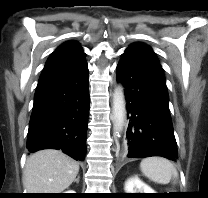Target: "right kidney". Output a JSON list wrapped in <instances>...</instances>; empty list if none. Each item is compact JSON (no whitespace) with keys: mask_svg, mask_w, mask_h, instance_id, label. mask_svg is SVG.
I'll list each match as a JSON object with an SVG mask.
<instances>
[{"mask_svg":"<svg viewBox=\"0 0 208 198\" xmlns=\"http://www.w3.org/2000/svg\"><path fill=\"white\" fill-rule=\"evenodd\" d=\"M65 193H75V191H66Z\"/></svg>","mask_w":208,"mask_h":198,"instance_id":"1","label":"right kidney"}]
</instances>
